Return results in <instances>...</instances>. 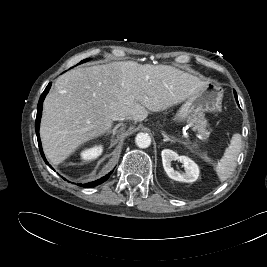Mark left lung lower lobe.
<instances>
[{
    "label": "left lung lower lobe",
    "instance_id": "obj_1",
    "mask_svg": "<svg viewBox=\"0 0 267 267\" xmlns=\"http://www.w3.org/2000/svg\"><path fill=\"white\" fill-rule=\"evenodd\" d=\"M234 94H235L236 101H237V103H238V99H237L236 91H234Z\"/></svg>",
    "mask_w": 267,
    "mask_h": 267
}]
</instances>
